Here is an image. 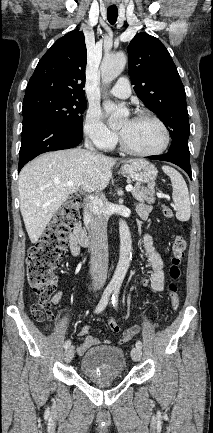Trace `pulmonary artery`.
<instances>
[{
	"mask_svg": "<svg viewBox=\"0 0 213 433\" xmlns=\"http://www.w3.org/2000/svg\"><path fill=\"white\" fill-rule=\"evenodd\" d=\"M109 92L117 98H128L131 94V88L128 79L121 77Z\"/></svg>",
	"mask_w": 213,
	"mask_h": 433,
	"instance_id": "pulmonary-artery-1",
	"label": "pulmonary artery"
}]
</instances>
